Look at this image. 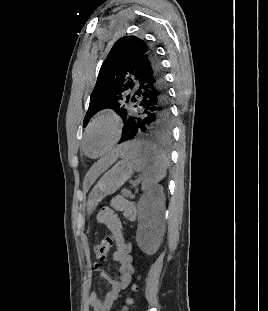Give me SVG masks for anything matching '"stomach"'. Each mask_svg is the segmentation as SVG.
Masks as SVG:
<instances>
[{
  "mask_svg": "<svg viewBox=\"0 0 268 311\" xmlns=\"http://www.w3.org/2000/svg\"><path fill=\"white\" fill-rule=\"evenodd\" d=\"M134 173V164L124 158L108 170L97 182L89 194L87 211L92 212L106 196L115 193Z\"/></svg>",
  "mask_w": 268,
  "mask_h": 311,
  "instance_id": "0dacf381",
  "label": "stomach"
}]
</instances>
